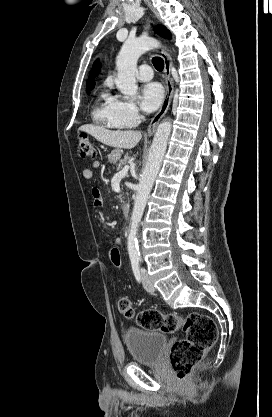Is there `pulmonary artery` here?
<instances>
[{
    "label": "pulmonary artery",
    "instance_id": "e3ab8cb5",
    "mask_svg": "<svg viewBox=\"0 0 272 417\" xmlns=\"http://www.w3.org/2000/svg\"><path fill=\"white\" fill-rule=\"evenodd\" d=\"M136 76L140 81H149L153 78V71L149 65L143 64L139 67Z\"/></svg>",
    "mask_w": 272,
    "mask_h": 417
}]
</instances>
